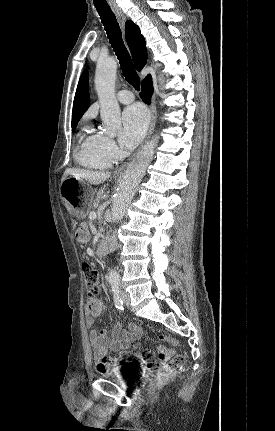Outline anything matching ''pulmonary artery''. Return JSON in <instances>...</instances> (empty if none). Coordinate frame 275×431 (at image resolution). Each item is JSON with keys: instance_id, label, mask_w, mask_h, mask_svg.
Wrapping results in <instances>:
<instances>
[{"instance_id": "1", "label": "pulmonary artery", "mask_w": 275, "mask_h": 431, "mask_svg": "<svg viewBox=\"0 0 275 431\" xmlns=\"http://www.w3.org/2000/svg\"><path fill=\"white\" fill-rule=\"evenodd\" d=\"M117 100L122 104H129L134 100V96L129 90H121L117 93Z\"/></svg>"}]
</instances>
